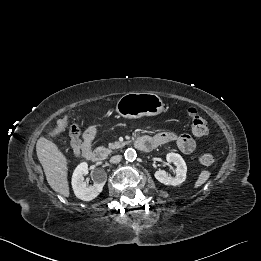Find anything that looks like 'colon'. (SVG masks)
<instances>
[{
	"instance_id": "5ec220e1",
	"label": "colon",
	"mask_w": 261,
	"mask_h": 261,
	"mask_svg": "<svg viewBox=\"0 0 261 261\" xmlns=\"http://www.w3.org/2000/svg\"><path fill=\"white\" fill-rule=\"evenodd\" d=\"M189 117L191 120L192 133L196 137H203L208 133L207 121L195 110L189 109ZM67 126V118H62L55 127L52 128L51 134H60ZM72 139L75 141L78 138L80 126L77 123H73L70 128ZM214 162V156L211 153H201L198 156V163L201 166H209Z\"/></svg>"
}]
</instances>
